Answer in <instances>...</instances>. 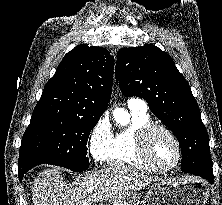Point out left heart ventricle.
<instances>
[{
	"label": "left heart ventricle",
	"mask_w": 222,
	"mask_h": 205,
	"mask_svg": "<svg viewBox=\"0 0 222 205\" xmlns=\"http://www.w3.org/2000/svg\"><path fill=\"white\" fill-rule=\"evenodd\" d=\"M147 147L153 160L160 166L169 167L176 160L175 144L162 131L156 130L150 134Z\"/></svg>",
	"instance_id": "1"
}]
</instances>
